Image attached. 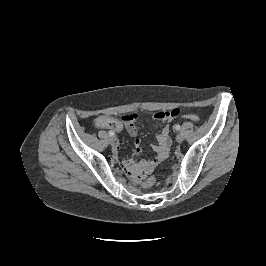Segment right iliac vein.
<instances>
[{"mask_svg": "<svg viewBox=\"0 0 266 266\" xmlns=\"http://www.w3.org/2000/svg\"><path fill=\"white\" fill-rule=\"evenodd\" d=\"M109 142H110L111 145H114L115 142H116V138L115 137H110Z\"/></svg>", "mask_w": 266, "mask_h": 266, "instance_id": "right-iliac-vein-1", "label": "right iliac vein"}]
</instances>
